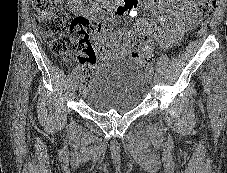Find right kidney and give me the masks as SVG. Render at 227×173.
<instances>
[{
    "label": "right kidney",
    "instance_id": "1",
    "mask_svg": "<svg viewBox=\"0 0 227 173\" xmlns=\"http://www.w3.org/2000/svg\"><path fill=\"white\" fill-rule=\"evenodd\" d=\"M84 0H68V7L70 11H79L82 9V4Z\"/></svg>",
    "mask_w": 227,
    "mask_h": 173
}]
</instances>
